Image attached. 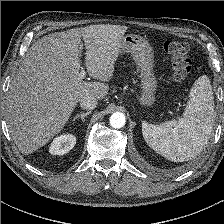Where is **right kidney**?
<instances>
[{
	"label": "right kidney",
	"instance_id": "right-kidney-1",
	"mask_svg": "<svg viewBox=\"0 0 224 224\" xmlns=\"http://www.w3.org/2000/svg\"><path fill=\"white\" fill-rule=\"evenodd\" d=\"M76 144V137L72 134H64L56 137L49 147L52 155H64L68 153Z\"/></svg>",
	"mask_w": 224,
	"mask_h": 224
}]
</instances>
